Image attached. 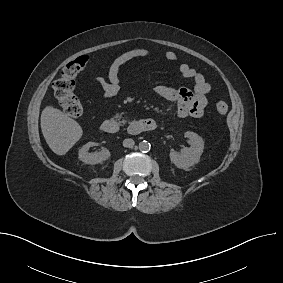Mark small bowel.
I'll use <instances>...</instances> for the list:
<instances>
[{"instance_id":"obj_1","label":"small bowel","mask_w":283,"mask_h":283,"mask_svg":"<svg viewBox=\"0 0 283 283\" xmlns=\"http://www.w3.org/2000/svg\"><path fill=\"white\" fill-rule=\"evenodd\" d=\"M149 55H151L149 49L134 48L117 56L109 66L107 75L97 76L94 79L102 90V98L107 100L119 93L121 88L120 70L125 64ZM164 58L170 62L178 59L177 54L172 51L166 52ZM179 73L184 79L192 81L191 89L158 85L154 88V93L165 100L174 102L178 117H201L207 105V95L211 91V86L201 73L186 63L180 64Z\"/></svg>"}]
</instances>
